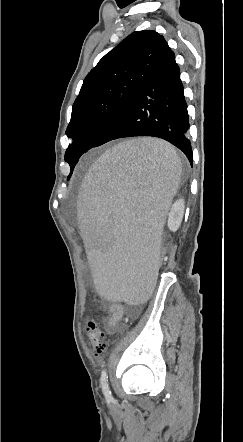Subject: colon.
Segmentation results:
<instances>
[{
  "instance_id": "obj_1",
  "label": "colon",
  "mask_w": 243,
  "mask_h": 442,
  "mask_svg": "<svg viewBox=\"0 0 243 442\" xmlns=\"http://www.w3.org/2000/svg\"><path fill=\"white\" fill-rule=\"evenodd\" d=\"M162 244L167 246L170 243V238L167 236L162 237ZM167 248H164V251L160 252L161 258L167 257ZM85 334L88 339V342L94 352L95 355H101L106 351L107 345L105 340V334L103 332L101 323L96 318H89L85 328Z\"/></svg>"
}]
</instances>
